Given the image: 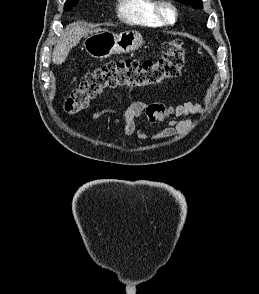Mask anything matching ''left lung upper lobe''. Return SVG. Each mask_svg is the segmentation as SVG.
I'll list each match as a JSON object with an SVG mask.
<instances>
[{"label":"left lung upper lobe","mask_w":259,"mask_h":294,"mask_svg":"<svg viewBox=\"0 0 259 294\" xmlns=\"http://www.w3.org/2000/svg\"><path fill=\"white\" fill-rule=\"evenodd\" d=\"M177 1L184 3V4H187V5H191L192 7L196 8V9L203 8L202 0H177Z\"/></svg>","instance_id":"1"}]
</instances>
